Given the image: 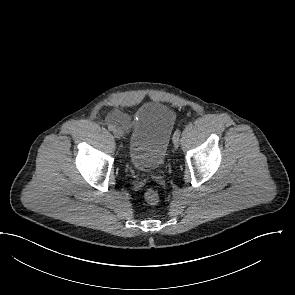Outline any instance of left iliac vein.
Segmentation results:
<instances>
[{
	"instance_id": "1",
	"label": "left iliac vein",
	"mask_w": 295,
	"mask_h": 295,
	"mask_svg": "<svg viewBox=\"0 0 295 295\" xmlns=\"http://www.w3.org/2000/svg\"><path fill=\"white\" fill-rule=\"evenodd\" d=\"M173 145H174V148L176 149V148H178V146H179V139H173Z\"/></svg>"
}]
</instances>
